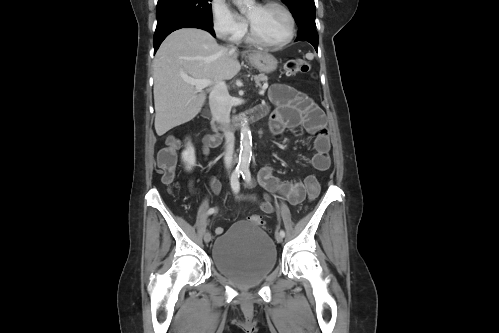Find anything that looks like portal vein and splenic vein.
Here are the masks:
<instances>
[{
  "label": "portal vein and splenic vein",
  "instance_id": "portal-vein-and-splenic-vein-1",
  "mask_svg": "<svg viewBox=\"0 0 499 333\" xmlns=\"http://www.w3.org/2000/svg\"><path fill=\"white\" fill-rule=\"evenodd\" d=\"M184 81L188 84L194 85L196 90L201 91L202 89H205L209 85H211V81L208 79H192V78H185ZM268 87V84H264L262 87V90L260 91V94H264Z\"/></svg>",
  "mask_w": 499,
  "mask_h": 333
}]
</instances>
